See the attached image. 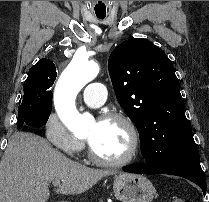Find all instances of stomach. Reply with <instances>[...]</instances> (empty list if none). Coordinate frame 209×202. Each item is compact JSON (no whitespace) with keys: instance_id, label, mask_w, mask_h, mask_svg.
<instances>
[{"instance_id":"stomach-1","label":"stomach","mask_w":209,"mask_h":202,"mask_svg":"<svg viewBox=\"0 0 209 202\" xmlns=\"http://www.w3.org/2000/svg\"><path fill=\"white\" fill-rule=\"evenodd\" d=\"M115 196L121 202H152L155 188L150 180L142 175L122 173L113 183Z\"/></svg>"}]
</instances>
